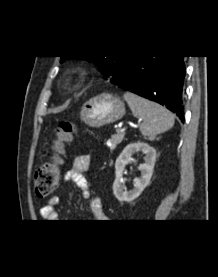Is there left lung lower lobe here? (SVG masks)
<instances>
[{
	"label": "left lung lower lobe",
	"instance_id": "0a47b994",
	"mask_svg": "<svg viewBox=\"0 0 218 277\" xmlns=\"http://www.w3.org/2000/svg\"><path fill=\"white\" fill-rule=\"evenodd\" d=\"M183 56L135 55L111 83L166 106L184 121L182 88Z\"/></svg>",
	"mask_w": 218,
	"mask_h": 277
}]
</instances>
